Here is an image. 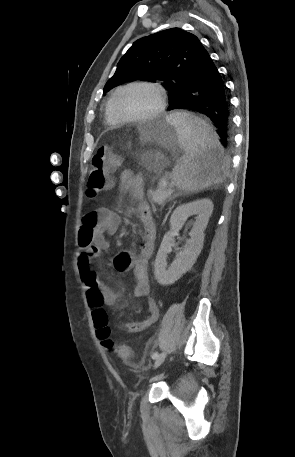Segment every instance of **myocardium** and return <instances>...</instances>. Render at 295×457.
Segmentation results:
<instances>
[{"mask_svg":"<svg viewBox=\"0 0 295 457\" xmlns=\"http://www.w3.org/2000/svg\"><path fill=\"white\" fill-rule=\"evenodd\" d=\"M135 86H145V87L152 88L157 95V99H158L157 107L152 112H150L144 116L122 117V116L118 115L115 111L114 104H115L116 97L122 90L130 88V87H135ZM165 107H166V93H165L163 87L158 83L150 82V81H133V82H129L125 85L118 87L112 94V96L110 98V102H109V110H110L112 117L117 122H121V123H140V122L150 121V120L158 117L164 111Z\"/></svg>","mask_w":295,"mask_h":457,"instance_id":"f54148a6","label":"myocardium"}]
</instances>
